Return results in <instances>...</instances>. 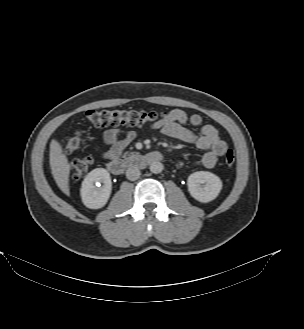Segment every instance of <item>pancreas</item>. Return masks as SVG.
I'll use <instances>...</instances> for the list:
<instances>
[{
	"mask_svg": "<svg viewBox=\"0 0 304 329\" xmlns=\"http://www.w3.org/2000/svg\"><path fill=\"white\" fill-rule=\"evenodd\" d=\"M129 156L127 157V154H124V158L125 159H130L131 158V155L130 154H128Z\"/></svg>",
	"mask_w": 304,
	"mask_h": 329,
	"instance_id": "cf45deb5",
	"label": "pancreas"
}]
</instances>
